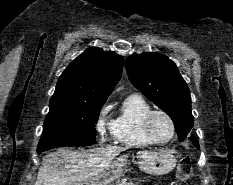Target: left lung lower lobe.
I'll return each mask as SVG.
<instances>
[{"label":"left lung lower lobe","mask_w":233,"mask_h":185,"mask_svg":"<svg viewBox=\"0 0 233 185\" xmlns=\"http://www.w3.org/2000/svg\"><path fill=\"white\" fill-rule=\"evenodd\" d=\"M189 139L193 142V144H194L198 149H200L199 143H198L197 139H195V138H193V137H190Z\"/></svg>","instance_id":"obj_1"}]
</instances>
